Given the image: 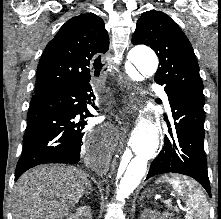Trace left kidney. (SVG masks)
Instances as JSON below:
<instances>
[{
  "label": "left kidney",
  "instance_id": "obj_1",
  "mask_svg": "<svg viewBox=\"0 0 221 219\" xmlns=\"http://www.w3.org/2000/svg\"><path fill=\"white\" fill-rule=\"evenodd\" d=\"M142 219H171V217L169 213L158 215L156 212L150 211L147 214L142 215Z\"/></svg>",
  "mask_w": 221,
  "mask_h": 219
}]
</instances>
